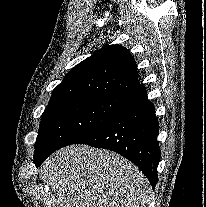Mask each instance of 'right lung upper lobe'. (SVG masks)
Listing matches in <instances>:
<instances>
[{
	"mask_svg": "<svg viewBox=\"0 0 206 207\" xmlns=\"http://www.w3.org/2000/svg\"><path fill=\"white\" fill-rule=\"evenodd\" d=\"M139 85L133 56L108 45L76 65L54 89L50 102L92 96H127Z\"/></svg>",
	"mask_w": 206,
	"mask_h": 207,
	"instance_id": "right-lung-upper-lobe-1",
	"label": "right lung upper lobe"
}]
</instances>
